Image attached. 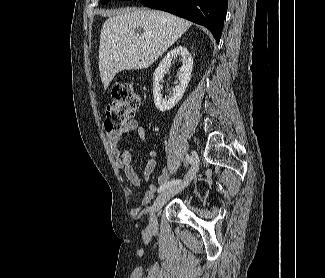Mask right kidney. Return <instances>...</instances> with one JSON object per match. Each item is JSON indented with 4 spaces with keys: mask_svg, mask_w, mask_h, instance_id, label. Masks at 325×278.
<instances>
[{
    "mask_svg": "<svg viewBox=\"0 0 325 278\" xmlns=\"http://www.w3.org/2000/svg\"><path fill=\"white\" fill-rule=\"evenodd\" d=\"M178 56H181L183 63L178 72L179 84L173 89L172 95L168 98H162L160 82L163 80L165 70L170 67L171 61ZM192 69L193 58L184 46L179 45L175 47L163 58L153 75L154 103L159 111L165 112L170 110L181 100L190 81Z\"/></svg>",
    "mask_w": 325,
    "mask_h": 278,
    "instance_id": "ca27d5eb",
    "label": "right kidney"
}]
</instances>
